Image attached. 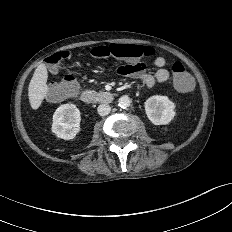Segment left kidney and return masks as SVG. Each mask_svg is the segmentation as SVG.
I'll return each instance as SVG.
<instances>
[{"label":"left kidney","mask_w":232,"mask_h":232,"mask_svg":"<svg viewBox=\"0 0 232 232\" xmlns=\"http://www.w3.org/2000/svg\"><path fill=\"white\" fill-rule=\"evenodd\" d=\"M175 105L167 96L154 95L145 102V111L148 119L154 125H166L175 116Z\"/></svg>","instance_id":"5707ae66"}]
</instances>
